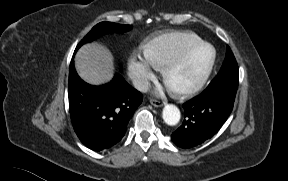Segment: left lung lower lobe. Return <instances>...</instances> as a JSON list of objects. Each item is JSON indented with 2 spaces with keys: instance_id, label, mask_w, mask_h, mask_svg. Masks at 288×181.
Here are the masks:
<instances>
[{
  "instance_id": "obj_1",
  "label": "left lung lower lobe",
  "mask_w": 288,
  "mask_h": 181,
  "mask_svg": "<svg viewBox=\"0 0 288 181\" xmlns=\"http://www.w3.org/2000/svg\"><path fill=\"white\" fill-rule=\"evenodd\" d=\"M235 97L219 92L201 93L183 104L184 121L172 133V141L191 148L213 137L230 115Z\"/></svg>"
}]
</instances>
